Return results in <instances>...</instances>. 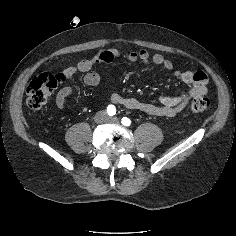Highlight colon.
<instances>
[{
  "mask_svg": "<svg viewBox=\"0 0 236 236\" xmlns=\"http://www.w3.org/2000/svg\"><path fill=\"white\" fill-rule=\"evenodd\" d=\"M65 80L62 73H42L35 77L28 85L27 103L31 109L39 110L45 106L51 93ZM209 99L204 96L196 97L191 103V110L195 113H204L209 109Z\"/></svg>",
  "mask_w": 236,
  "mask_h": 236,
  "instance_id": "obj_1",
  "label": "colon"
}]
</instances>
